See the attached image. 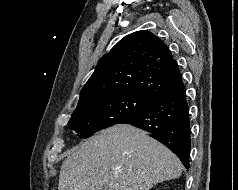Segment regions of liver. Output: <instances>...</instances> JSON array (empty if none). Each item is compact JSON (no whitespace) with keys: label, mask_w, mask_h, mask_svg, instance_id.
Returning <instances> with one entry per match:
<instances>
[{"label":"liver","mask_w":238,"mask_h":190,"mask_svg":"<svg viewBox=\"0 0 238 190\" xmlns=\"http://www.w3.org/2000/svg\"><path fill=\"white\" fill-rule=\"evenodd\" d=\"M182 169L178 157L145 131L118 124L67 153L58 190H149L179 178Z\"/></svg>","instance_id":"liver-1"}]
</instances>
